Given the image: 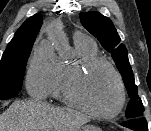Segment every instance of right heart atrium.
<instances>
[{
	"instance_id": "right-heart-atrium-1",
	"label": "right heart atrium",
	"mask_w": 151,
	"mask_h": 131,
	"mask_svg": "<svg viewBox=\"0 0 151 131\" xmlns=\"http://www.w3.org/2000/svg\"><path fill=\"white\" fill-rule=\"evenodd\" d=\"M55 62L51 53L40 51L33 53L25 74V86L31 96L45 98L50 94L55 74Z\"/></svg>"
}]
</instances>
